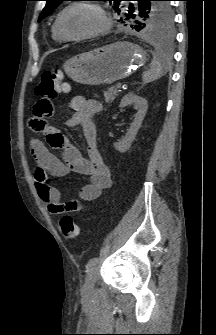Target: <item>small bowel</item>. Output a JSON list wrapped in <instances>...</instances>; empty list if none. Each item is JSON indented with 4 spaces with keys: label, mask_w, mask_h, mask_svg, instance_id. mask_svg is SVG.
Returning a JSON list of instances; mask_svg holds the SVG:
<instances>
[{
    "label": "small bowel",
    "mask_w": 216,
    "mask_h": 335,
    "mask_svg": "<svg viewBox=\"0 0 216 335\" xmlns=\"http://www.w3.org/2000/svg\"><path fill=\"white\" fill-rule=\"evenodd\" d=\"M35 104L28 124L33 134L46 135L48 144L61 151L62 160L57 158L37 139L30 140V152L35 162L34 183L39 198L46 204L51 214L57 215L66 211L81 210L84 203L98 199L102 192L111 187L112 181L108 166L105 164L97 143V131L92 117L102 110V105L95 99L81 95L72 98L70 107L72 115L67 120L70 128L82 127L87 146V157L73 146L62 134L50 126L51 115H62L64 109L52 104V96L39 98ZM55 138L53 143L50 139ZM75 172L88 177L89 181L79 190V198L65 203L60 201V192L48 183L50 177H62Z\"/></svg>",
    "instance_id": "1"
}]
</instances>
